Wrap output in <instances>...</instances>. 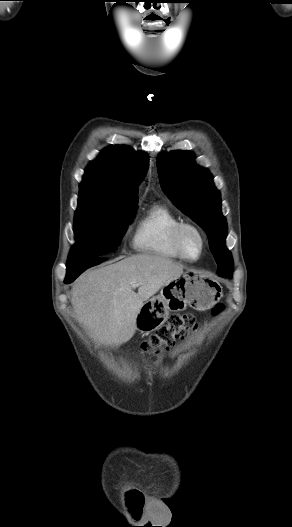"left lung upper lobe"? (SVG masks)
Listing matches in <instances>:
<instances>
[{
  "instance_id": "left-lung-upper-lobe-1",
  "label": "left lung upper lobe",
  "mask_w": 292,
  "mask_h": 527,
  "mask_svg": "<svg viewBox=\"0 0 292 527\" xmlns=\"http://www.w3.org/2000/svg\"><path fill=\"white\" fill-rule=\"evenodd\" d=\"M161 186L172 202L203 228L220 276H229L233 260L225 246L226 219L221 213L220 192L210 172L195 165L189 151L163 152L157 157Z\"/></svg>"
}]
</instances>
